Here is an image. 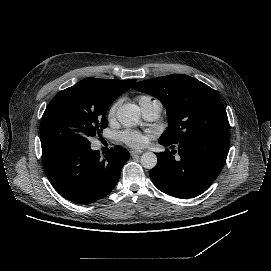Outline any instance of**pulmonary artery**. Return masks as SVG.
<instances>
[{"instance_id":"1","label":"pulmonary artery","mask_w":271,"mask_h":271,"mask_svg":"<svg viewBox=\"0 0 271 271\" xmlns=\"http://www.w3.org/2000/svg\"><path fill=\"white\" fill-rule=\"evenodd\" d=\"M141 108L144 118L148 121H154L160 113L161 104L155 100L151 103L141 105ZM95 148L97 149L98 146H95Z\"/></svg>"}]
</instances>
